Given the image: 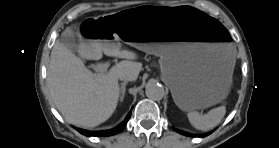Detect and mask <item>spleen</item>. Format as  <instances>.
Listing matches in <instances>:
<instances>
[{"instance_id": "spleen-1", "label": "spleen", "mask_w": 279, "mask_h": 148, "mask_svg": "<svg viewBox=\"0 0 279 148\" xmlns=\"http://www.w3.org/2000/svg\"><path fill=\"white\" fill-rule=\"evenodd\" d=\"M226 113L225 106L211 109L207 114L201 115L196 111L188 113V119L191 125L201 131H208L216 127L223 119Z\"/></svg>"}]
</instances>
